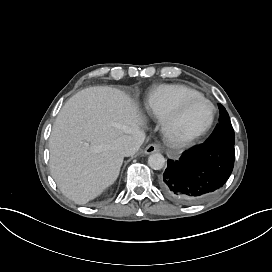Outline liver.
Wrapping results in <instances>:
<instances>
[{"instance_id": "1", "label": "liver", "mask_w": 272, "mask_h": 272, "mask_svg": "<svg viewBox=\"0 0 272 272\" xmlns=\"http://www.w3.org/2000/svg\"><path fill=\"white\" fill-rule=\"evenodd\" d=\"M137 104L108 86L83 89L62 107L49 138L50 171L60 191L86 204L112 185L123 156L114 146L139 130Z\"/></svg>"}]
</instances>
